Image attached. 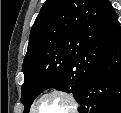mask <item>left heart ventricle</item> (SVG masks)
<instances>
[{
	"instance_id": "1",
	"label": "left heart ventricle",
	"mask_w": 121,
	"mask_h": 113,
	"mask_svg": "<svg viewBox=\"0 0 121 113\" xmlns=\"http://www.w3.org/2000/svg\"><path fill=\"white\" fill-rule=\"evenodd\" d=\"M70 110L67 101L59 96L45 98L38 107V113H63Z\"/></svg>"
}]
</instances>
